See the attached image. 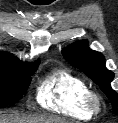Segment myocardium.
<instances>
[{"label": "myocardium", "mask_w": 118, "mask_h": 123, "mask_svg": "<svg viewBox=\"0 0 118 123\" xmlns=\"http://www.w3.org/2000/svg\"><path fill=\"white\" fill-rule=\"evenodd\" d=\"M85 105L88 110L97 114L102 108V98L98 93L90 90L85 96Z\"/></svg>", "instance_id": "obj_1"}]
</instances>
